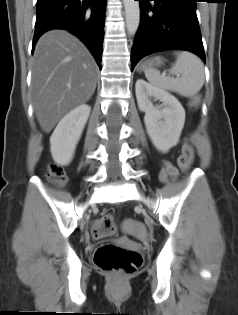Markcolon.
Masks as SVG:
<instances>
[{
	"label": "colon",
	"mask_w": 238,
	"mask_h": 315,
	"mask_svg": "<svg viewBox=\"0 0 238 315\" xmlns=\"http://www.w3.org/2000/svg\"><path fill=\"white\" fill-rule=\"evenodd\" d=\"M194 160V148L191 144L183 147L178 158V166L187 171ZM48 177L57 185L66 183V174L62 167L50 164L47 168ZM124 230L138 238L145 236V227L142 223L127 220L124 222ZM116 233L115 220L112 215H106L97 220L92 226V234L96 239H104ZM143 262L142 255L134 250L125 249L113 244L99 246L94 254L95 265L103 272L115 278H123L132 275Z\"/></svg>",
	"instance_id": "1"
}]
</instances>
